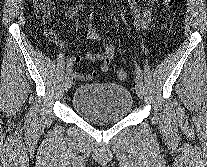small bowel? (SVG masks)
I'll list each match as a JSON object with an SVG mask.
<instances>
[{
    "mask_svg": "<svg viewBox=\"0 0 207 167\" xmlns=\"http://www.w3.org/2000/svg\"><path fill=\"white\" fill-rule=\"evenodd\" d=\"M127 1L130 6V10L134 16L135 27L137 29H144L148 25L151 19L153 6L159 0H146L145 7L142 11L139 9L137 0H127ZM86 35L87 38L91 41L101 40L100 35L91 26L87 28ZM114 55H115V47L112 44L105 43L102 45V49L100 51H96V52L89 51L85 57L87 60L93 62H101L102 63L101 71L105 72L108 70L109 65L111 64L114 58ZM69 60H72L73 62H80L82 60V57L78 55H72L70 56ZM74 76L77 79H83V80L91 79L90 74L81 75L78 73H74Z\"/></svg>",
    "mask_w": 207,
    "mask_h": 167,
    "instance_id": "1",
    "label": "small bowel"
}]
</instances>
